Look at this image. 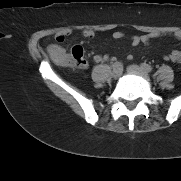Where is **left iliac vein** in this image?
<instances>
[{"label":"left iliac vein","mask_w":181,"mask_h":181,"mask_svg":"<svg viewBox=\"0 0 181 181\" xmlns=\"http://www.w3.org/2000/svg\"><path fill=\"white\" fill-rule=\"evenodd\" d=\"M128 70H130V71H139V72H142V73H147V71L146 70H144L142 67H139V66H137V65H130L129 67H128Z\"/></svg>","instance_id":"4c4485c4"}]
</instances>
